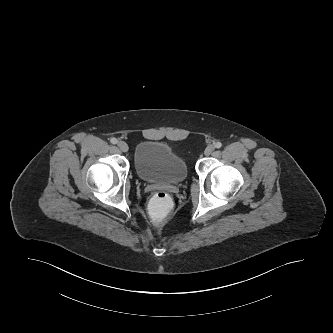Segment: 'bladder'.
<instances>
[{
    "label": "bladder",
    "mask_w": 333,
    "mask_h": 333,
    "mask_svg": "<svg viewBox=\"0 0 333 333\" xmlns=\"http://www.w3.org/2000/svg\"><path fill=\"white\" fill-rule=\"evenodd\" d=\"M133 164L138 177L145 182L179 184L188 175L185 158L156 141L139 143L134 150Z\"/></svg>",
    "instance_id": "bladder-1"
}]
</instances>
